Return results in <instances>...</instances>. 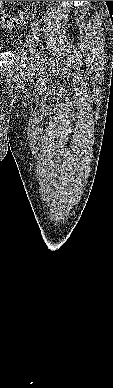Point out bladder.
Returning <instances> with one entry per match:
<instances>
[{
  "instance_id": "obj_1",
  "label": "bladder",
  "mask_w": 113,
  "mask_h": 388,
  "mask_svg": "<svg viewBox=\"0 0 113 388\" xmlns=\"http://www.w3.org/2000/svg\"><path fill=\"white\" fill-rule=\"evenodd\" d=\"M3 49V45L2 44H0V51Z\"/></svg>"
}]
</instances>
